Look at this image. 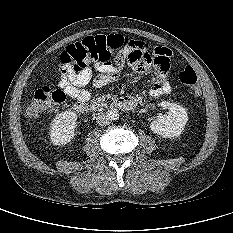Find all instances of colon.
<instances>
[{
  "instance_id": "colon-1",
  "label": "colon",
  "mask_w": 233,
  "mask_h": 233,
  "mask_svg": "<svg viewBox=\"0 0 233 233\" xmlns=\"http://www.w3.org/2000/svg\"><path fill=\"white\" fill-rule=\"evenodd\" d=\"M121 35L87 37L80 42L69 45L60 55L59 63L62 72H79L91 63L112 64L118 67L124 63L127 53L136 44ZM180 82L195 95L201 94L199 78L190 66L179 73ZM66 99L62 89L42 87L36 90L27 109L29 116L36 117Z\"/></svg>"
}]
</instances>
